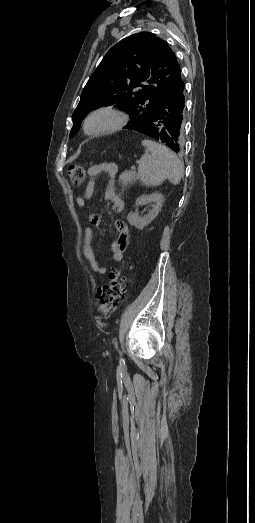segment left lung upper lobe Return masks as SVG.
<instances>
[{
  "instance_id": "5c2ea615",
  "label": "left lung upper lobe",
  "mask_w": 255,
  "mask_h": 523,
  "mask_svg": "<svg viewBox=\"0 0 255 523\" xmlns=\"http://www.w3.org/2000/svg\"><path fill=\"white\" fill-rule=\"evenodd\" d=\"M181 82V68L167 42L150 32L133 34L113 46L91 75L72 115L69 137L90 111L115 102L131 112L132 124L125 128L134 130L155 115L165 94Z\"/></svg>"
}]
</instances>
